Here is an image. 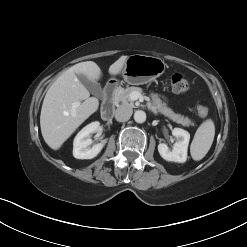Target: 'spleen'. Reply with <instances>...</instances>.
Segmentation results:
<instances>
[{
  "mask_svg": "<svg viewBox=\"0 0 247 247\" xmlns=\"http://www.w3.org/2000/svg\"><path fill=\"white\" fill-rule=\"evenodd\" d=\"M215 136V125L211 119L205 120L196 130L190 146V153L195 161L205 157L210 150Z\"/></svg>",
  "mask_w": 247,
  "mask_h": 247,
  "instance_id": "1",
  "label": "spleen"
}]
</instances>
